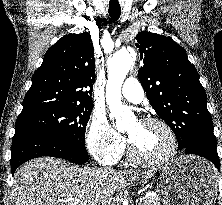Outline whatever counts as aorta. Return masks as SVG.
Wrapping results in <instances>:
<instances>
[{"mask_svg": "<svg viewBox=\"0 0 222 205\" xmlns=\"http://www.w3.org/2000/svg\"><path fill=\"white\" fill-rule=\"evenodd\" d=\"M132 65L133 57L127 50L114 53L108 61L106 102L110 116L115 119L116 128L119 131L127 129L129 123L134 119L131 109L121 102V87Z\"/></svg>", "mask_w": 222, "mask_h": 205, "instance_id": "1", "label": "aorta"}]
</instances>
